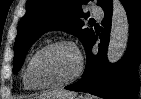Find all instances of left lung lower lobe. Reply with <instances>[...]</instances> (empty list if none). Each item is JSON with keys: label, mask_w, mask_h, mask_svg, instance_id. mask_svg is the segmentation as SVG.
<instances>
[{"label": "left lung lower lobe", "mask_w": 141, "mask_h": 99, "mask_svg": "<svg viewBox=\"0 0 141 99\" xmlns=\"http://www.w3.org/2000/svg\"><path fill=\"white\" fill-rule=\"evenodd\" d=\"M127 12L130 35L128 47L123 58L114 64L107 60V48L110 38L112 3L103 8L104 30L100 34L101 43L96 55L92 46L96 36L85 47L87 62L83 77L65 89L88 92L105 99H137L139 79L137 68L140 63L141 49V0H122Z\"/></svg>", "instance_id": "1"}]
</instances>
